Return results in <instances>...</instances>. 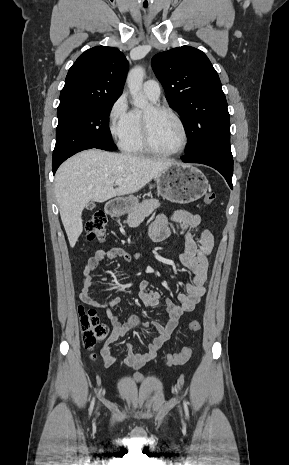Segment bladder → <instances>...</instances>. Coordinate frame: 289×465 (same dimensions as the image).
Here are the masks:
<instances>
[{"label": "bladder", "instance_id": "1", "mask_svg": "<svg viewBox=\"0 0 289 465\" xmlns=\"http://www.w3.org/2000/svg\"><path fill=\"white\" fill-rule=\"evenodd\" d=\"M134 382L140 384V383L142 382V380H138V379H137V380H135Z\"/></svg>", "mask_w": 289, "mask_h": 465}]
</instances>
